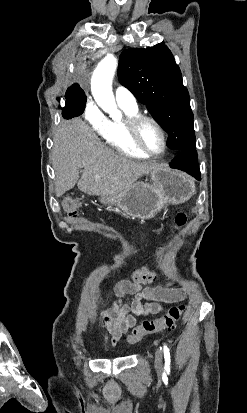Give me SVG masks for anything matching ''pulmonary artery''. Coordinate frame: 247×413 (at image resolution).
Returning a JSON list of instances; mask_svg holds the SVG:
<instances>
[{
  "instance_id": "obj_1",
  "label": "pulmonary artery",
  "mask_w": 247,
  "mask_h": 413,
  "mask_svg": "<svg viewBox=\"0 0 247 413\" xmlns=\"http://www.w3.org/2000/svg\"><path fill=\"white\" fill-rule=\"evenodd\" d=\"M115 97L119 104L129 107L135 108L137 105V100L134 93L124 85H117L115 88Z\"/></svg>"
}]
</instances>
